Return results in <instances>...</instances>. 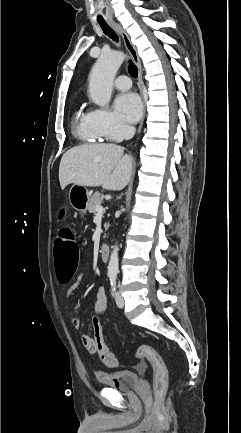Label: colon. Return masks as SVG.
<instances>
[{
	"label": "colon",
	"instance_id": "colon-1",
	"mask_svg": "<svg viewBox=\"0 0 241 433\" xmlns=\"http://www.w3.org/2000/svg\"><path fill=\"white\" fill-rule=\"evenodd\" d=\"M61 208L66 206L64 201L59 203ZM51 238V249L55 259L57 279L60 283H68L78 267V249L76 244L75 232L71 225H61L60 230H53ZM101 314L95 313L90 320L93 327L94 338L92 342H87V347L91 351L99 354L103 363L114 368L118 361L115 355L106 345L100 324ZM137 359L147 358L152 364L153 390L155 399L158 400L167 389V368L162 356L152 347L141 345L135 353Z\"/></svg>",
	"mask_w": 241,
	"mask_h": 433
}]
</instances>
